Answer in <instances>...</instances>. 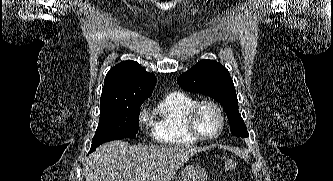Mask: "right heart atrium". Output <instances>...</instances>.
Segmentation results:
<instances>
[{
    "label": "right heart atrium",
    "mask_w": 333,
    "mask_h": 181,
    "mask_svg": "<svg viewBox=\"0 0 333 181\" xmlns=\"http://www.w3.org/2000/svg\"><path fill=\"white\" fill-rule=\"evenodd\" d=\"M147 120H148V119H147V117H146L145 115H141V121H142V122L145 123V122H147Z\"/></svg>",
    "instance_id": "d8ad5b80"
}]
</instances>
